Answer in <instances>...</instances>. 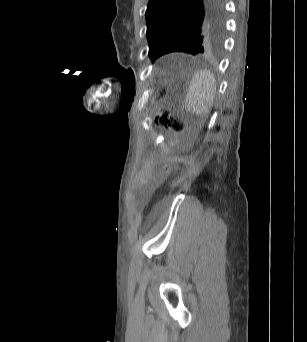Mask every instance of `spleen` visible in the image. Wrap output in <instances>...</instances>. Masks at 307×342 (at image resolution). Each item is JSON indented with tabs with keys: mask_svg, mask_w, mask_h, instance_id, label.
Masks as SVG:
<instances>
[{
	"mask_svg": "<svg viewBox=\"0 0 307 342\" xmlns=\"http://www.w3.org/2000/svg\"><path fill=\"white\" fill-rule=\"evenodd\" d=\"M216 80L210 70H198L189 84L184 110L189 114H207L212 109Z\"/></svg>",
	"mask_w": 307,
	"mask_h": 342,
	"instance_id": "1",
	"label": "spleen"
}]
</instances>
